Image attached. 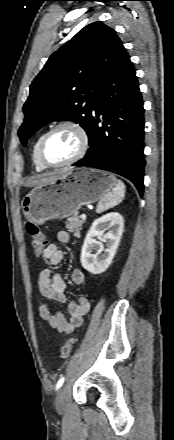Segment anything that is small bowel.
<instances>
[{
	"mask_svg": "<svg viewBox=\"0 0 174 440\" xmlns=\"http://www.w3.org/2000/svg\"><path fill=\"white\" fill-rule=\"evenodd\" d=\"M57 240L62 244H68L71 241L69 234L64 231L57 234ZM42 257L50 264L58 265L63 260L64 254L57 245L48 244L42 252ZM71 280L76 285L83 284L85 281L84 273L79 269H74L71 272ZM38 284L39 290L45 298L60 303L67 302L65 294L66 284L59 274L54 273L50 269H44L39 274ZM67 308L70 315L69 319H66L62 312H53L47 303L40 305L39 314L44 321L59 333L70 334L83 324L84 316L89 311L90 303L86 296H81L77 302H68Z\"/></svg>",
	"mask_w": 174,
	"mask_h": 440,
	"instance_id": "small-bowel-1",
	"label": "small bowel"
}]
</instances>
